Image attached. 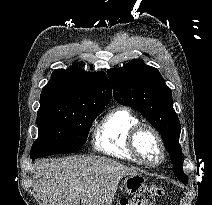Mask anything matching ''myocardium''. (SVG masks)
<instances>
[{
	"instance_id": "myocardium-1",
	"label": "myocardium",
	"mask_w": 212,
	"mask_h": 205,
	"mask_svg": "<svg viewBox=\"0 0 212 205\" xmlns=\"http://www.w3.org/2000/svg\"><path fill=\"white\" fill-rule=\"evenodd\" d=\"M148 134L154 140L155 144L159 149V158L156 160H152L148 158L141 150L139 146V139L142 135ZM129 148L134 156L145 164H149L152 166L159 165L163 162L165 158V146L162 141L161 136L157 132V130L148 124H138L133 130L130 132L129 139Z\"/></svg>"
}]
</instances>
